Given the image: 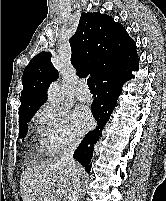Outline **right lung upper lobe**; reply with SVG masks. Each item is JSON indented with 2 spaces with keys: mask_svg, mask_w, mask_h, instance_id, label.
Listing matches in <instances>:
<instances>
[{
  "mask_svg": "<svg viewBox=\"0 0 166 201\" xmlns=\"http://www.w3.org/2000/svg\"><path fill=\"white\" fill-rule=\"evenodd\" d=\"M70 46L71 62L78 75L90 74L95 84L108 70L138 59L136 43L120 23L106 14L82 13ZM50 57V52H41L25 67L19 118L35 113L46 101L47 89L58 76Z\"/></svg>",
  "mask_w": 166,
  "mask_h": 201,
  "instance_id": "obj_1",
  "label": "right lung upper lobe"
}]
</instances>
